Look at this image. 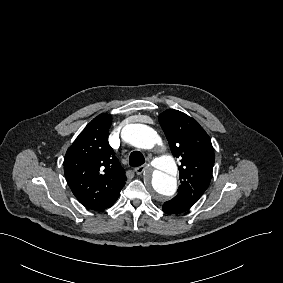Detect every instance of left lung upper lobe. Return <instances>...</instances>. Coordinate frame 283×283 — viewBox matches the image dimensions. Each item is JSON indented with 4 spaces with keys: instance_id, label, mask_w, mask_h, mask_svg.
I'll return each instance as SVG.
<instances>
[{
    "instance_id": "5c2ea615",
    "label": "left lung upper lobe",
    "mask_w": 283,
    "mask_h": 283,
    "mask_svg": "<svg viewBox=\"0 0 283 283\" xmlns=\"http://www.w3.org/2000/svg\"><path fill=\"white\" fill-rule=\"evenodd\" d=\"M159 122L172 154L181 162L177 195L164 204L192 207L212 178L214 150L210 137L196 120L178 110L165 111Z\"/></svg>"
}]
</instances>
